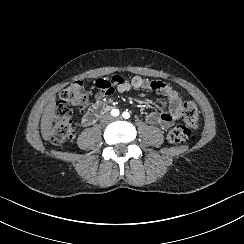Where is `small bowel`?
Segmentation results:
<instances>
[{
	"label": "small bowel",
	"mask_w": 244,
	"mask_h": 244,
	"mask_svg": "<svg viewBox=\"0 0 244 244\" xmlns=\"http://www.w3.org/2000/svg\"><path fill=\"white\" fill-rule=\"evenodd\" d=\"M114 83V84H111ZM97 88L94 94V100L100 102L105 100L115 92H127L131 89L146 90L158 93L163 105V111L157 113L150 111L146 115V122L152 126H160L161 128L170 127L178 118V106L180 97L178 92L167 82L164 81H149L141 77H133L128 80L122 76H113L109 79H100L95 83ZM163 97V98H162ZM83 122L88 124L90 122L89 112L83 116Z\"/></svg>",
	"instance_id": "1"
}]
</instances>
